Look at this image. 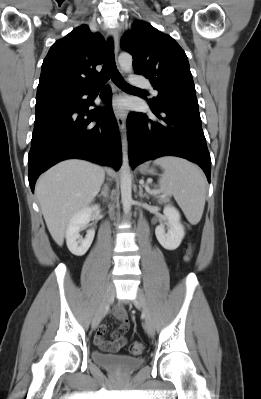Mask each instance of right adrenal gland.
Here are the masks:
<instances>
[{
  "label": "right adrenal gland",
  "instance_id": "1",
  "mask_svg": "<svg viewBox=\"0 0 261 399\" xmlns=\"http://www.w3.org/2000/svg\"><path fill=\"white\" fill-rule=\"evenodd\" d=\"M108 190H109L108 186L106 184L103 185L101 193L98 194L97 197H103L104 198L103 201L107 200V198H108Z\"/></svg>",
  "mask_w": 261,
  "mask_h": 399
}]
</instances>
